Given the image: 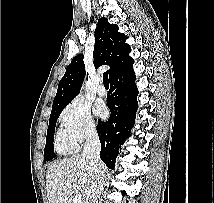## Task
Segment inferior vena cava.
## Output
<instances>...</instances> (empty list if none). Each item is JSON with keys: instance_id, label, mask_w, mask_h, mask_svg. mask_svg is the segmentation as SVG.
Listing matches in <instances>:
<instances>
[{"instance_id": "602c4592", "label": "inferior vena cava", "mask_w": 214, "mask_h": 203, "mask_svg": "<svg viewBox=\"0 0 214 203\" xmlns=\"http://www.w3.org/2000/svg\"><path fill=\"white\" fill-rule=\"evenodd\" d=\"M101 144L95 129H91L86 137L83 157L90 167V188L85 203H99L103 190L105 167L100 159Z\"/></svg>"}]
</instances>
